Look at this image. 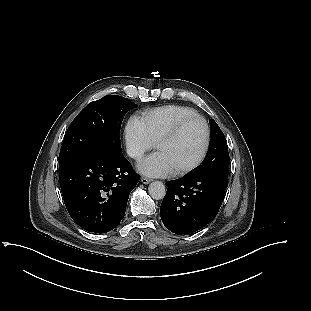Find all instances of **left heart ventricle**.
Masks as SVG:
<instances>
[{
	"instance_id": "obj_1",
	"label": "left heart ventricle",
	"mask_w": 311,
	"mask_h": 311,
	"mask_svg": "<svg viewBox=\"0 0 311 311\" xmlns=\"http://www.w3.org/2000/svg\"><path fill=\"white\" fill-rule=\"evenodd\" d=\"M203 142V125L199 121H193L185 126L176 138L160 142L156 149L166 156L174 171L194 161Z\"/></svg>"
}]
</instances>
